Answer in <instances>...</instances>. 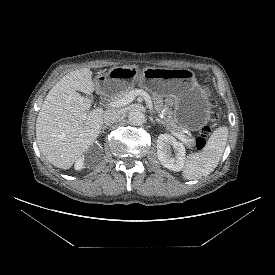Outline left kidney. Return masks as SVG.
<instances>
[{"label": "left kidney", "instance_id": "left-kidney-1", "mask_svg": "<svg viewBox=\"0 0 275 275\" xmlns=\"http://www.w3.org/2000/svg\"><path fill=\"white\" fill-rule=\"evenodd\" d=\"M174 149V157L170 147ZM157 156L163 167L179 172L185 164L186 150L182 143L169 134H161L157 139Z\"/></svg>", "mask_w": 275, "mask_h": 275}]
</instances>
